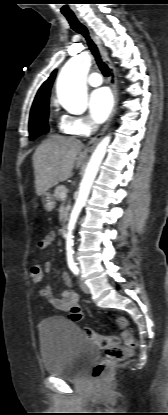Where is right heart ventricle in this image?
I'll list each match as a JSON object with an SVG mask.
<instances>
[{
  "label": "right heart ventricle",
  "instance_id": "obj_1",
  "mask_svg": "<svg viewBox=\"0 0 168 415\" xmlns=\"http://www.w3.org/2000/svg\"><path fill=\"white\" fill-rule=\"evenodd\" d=\"M58 128H59V130H60L62 133H64V134H68V135H72V134L69 132V130L67 129L66 124H65L64 119H63V118H61V119H60V121H59V123H58Z\"/></svg>",
  "mask_w": 168,
  "mask_h": 415
}]
</instances>
